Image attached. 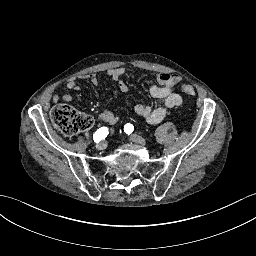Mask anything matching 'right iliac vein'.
<instances>
[{
	"mask_svg": "<svg viewBox=\"0 0 256 256\" xmlns=\"http://www.w3.org/2000/svg\"><path fill=\"white\" fill-rule=\"evenodd\" d=\"M106 143L105 142H100L99 144H97L95 147L97 150H105L106 149Z\"/></svg>",
	"mask_w": 256,
	"mask_h": 256,
	"instance_id": "63e3f726",
	"label": "right iliac vein"
}]
</instances>
